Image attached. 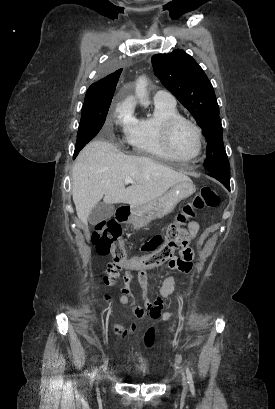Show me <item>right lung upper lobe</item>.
<instances>
[{
	"instance_id": "right-lung-upper-lobe-1",
	"label": "right lung upper lobe",
	"mask_w": 275,
	"mask_h": 409,
	"mask_svg": "<svg viewBox=\"0 0 275 409\" xmlns=\"http://www.w3.org/2000/svg\"><path fill=\"white\" fill-rule=\"evenodd\" d=\"M121 72L112 73L96 83H93L86 92L84 103L100 104L111 102Z\"/></svg>"
}]
</instances>
